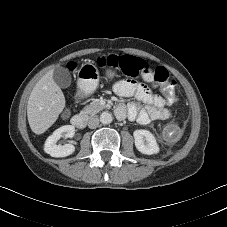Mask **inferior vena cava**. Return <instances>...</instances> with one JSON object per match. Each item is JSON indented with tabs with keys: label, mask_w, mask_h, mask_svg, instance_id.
<instances>
[{
	"label": "inferior vena cava",
	"mask_w": 227,
	"mask_h": 227,
	"mask_svg": "<svg viewBox=\"0 0 227 227\" xmlns=\"http://www.w3.org/2000/svg\"><path fill=\"white\" fill-rule=\"evenodd\" d=\"M99 125V118L96 115L90 116L88 118V127L91 129L96 128Z\"/></svg>",
	"instance_id": "602c4592"
}]
</instances>
